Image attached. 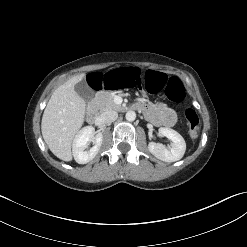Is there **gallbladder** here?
Instances as JSON below:
<instances>
[{
	"mask_svg": "<svg viewBox=\"0 0 247 247\" xmlns=\"http://www.w3.org/2000/svg\"><path fill=\"white\" fill-rule=\"evenodd\" d=\"M76 93L83 99L89 101L94 96V90L88 85L85 79L75 85Z\"/></svg>",
	"mask_w": 247,
	"mask_h": 247,
	"instance_id": "1",
	"label": "gallbladder"
}]
</instances>
